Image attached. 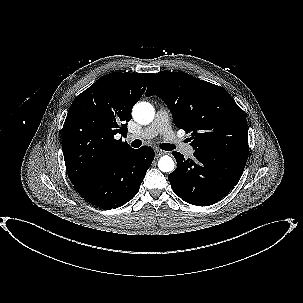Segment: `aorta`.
<instances>
[{
    "mask_svg": "<svg viewBox=\"0 0 303 303\" xmlns=\"http://www.w3.org/2000/svg\"><path fill=\"white\" fill-rule=\"evenodd\" d=\"M132 115L137 123L141 125H147L153 121L155 111L150 103L140 102L134 106ZM158 167L162 172H172L174 170L175 164L170 156L164 155L159 159Z\"/></svg>",
    "mask_w": 303,
    "mask_h": 303,
    "instance_id": "obj_1",
    "label": "aorta"
}]
</instances>
